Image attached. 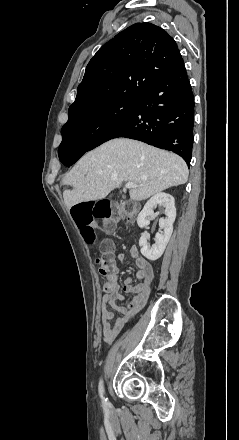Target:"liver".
Here are the masks:
<instances>
[{"instance_id": "1", "label": "liver", "mask_w": 239, "mask_h": 440, "mask_svg": "<svg viewBox=\"0 0 239 440\" xmlns=\"http://www.w3.org/2000/svg\"><path fill=\"white\" fill-rule=\"evenodd\" d=\"M146 176L147 180H142ZM188 168L176 154L147 146L137 140L116 138L85 154L63 178L67 208L80 202L102 200L123 182L139 188L130 190L131 200H147L171 186L186 184Z\"/></svg>"}]
</instances>
